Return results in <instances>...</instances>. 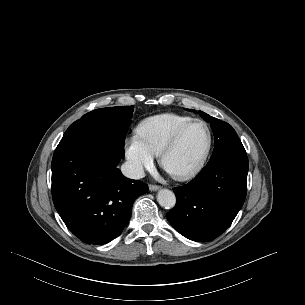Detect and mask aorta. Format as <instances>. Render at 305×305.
Returning a JSON list of instances; mask_svg holds the SVG:
<instances>
[{"label":"aorta","instance_id":"762f6f07","mask_svg":"<svg viewBox=\"0 0 305 305\" xmlns=\"http://www.w3.org/2000/svg\"><path fill=\"white\" fill-rule=\"evenodd\" d=\"M157 201L162 207L171 209L176 204V197L172 191L161 189L157 194Z\"/></svg>","mask_w":305,"mask_h":305}]
</instances>
